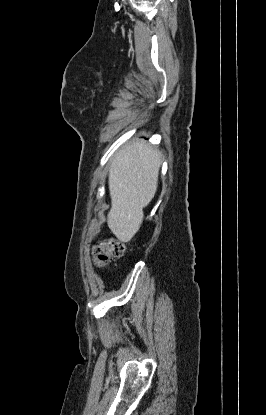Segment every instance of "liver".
Here are the masks:
<instances>
[{
    "instance_id": "6515ba94",
    "label": "liver",
    "mask_w": 266,
    "mask_h": 415,
    "mask_svg": "<svg viewBox=\"0 0 266 415\" xmlns=\"http://www.w3.org/2000/svg\"><path fill=\"white\" fill-rule=\"evenodd\" d=\"M162 153L145 141L132 140L111 159L109 191L111 209L107 224L122 242H129L143 222V208L153 199L158 186Z\"/></svg>"
}]
</instances>
